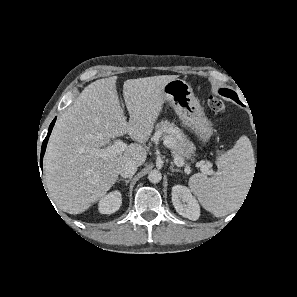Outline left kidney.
Masks as SVG:
<instances>
[{"mask_svg": "<svg viewBox=\"0 0 297 297\" xmlns=\"http://www.w3.org/2000/svg\"><path fill=\"white\" fill-rule=\"evenodd\" d=\"M172 203L178 214L190 220L200 216V206L196 198L186 186L175 185L172 188Z\"/></svg>", "mask_w": 297, "mask_h": 297, "instance_id": "1", "label": "left kidney"}]
</instances>
